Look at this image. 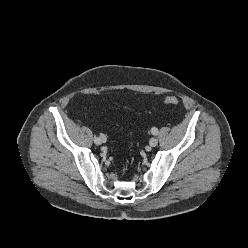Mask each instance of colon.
<instances>
[{"label": "colon", "mask_w": 248, "mask_h": 248, "mask_svg": "<svg viewBox=\"0 0 248 248\" xmlns=\"http://www.w3.org/2000/svg\"><path fill=\"white\" fill-rule=\"evenodd\" d=\"M164 103L166 105H178L179 104V99L175 96H168L165 98Z\"/></svg>", "instance_id": "obj_1"}]
</instances>
